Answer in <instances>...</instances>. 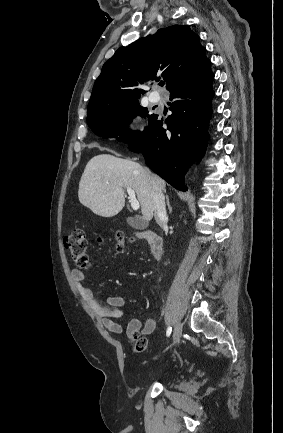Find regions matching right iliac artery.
<instances>
[{
	"mask_svg": "<svg viewBox=\"0 0 283 433\" xmlns=\"http://www.w3.org/2000/svg\"><path fill=\"white\" fill-rule=\"evenodd\" d=\"M171 332H172V327L169 326L166 333L168 337L170 336Z\"/></svg>",
	"mask_w": 283,
	"mask_h": 433,
	"instance_id": "obj_1",
	"label": "right iliac artery"
}]
</instances>
